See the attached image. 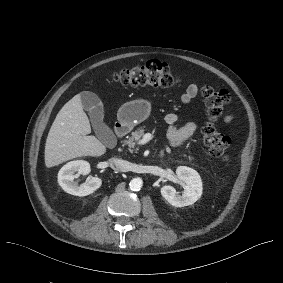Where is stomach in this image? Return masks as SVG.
I'll list each match as a JSON object with an SVG mask.
<instances>
[{"mask_svg": "<svg viewBox=\"0 0 283 283\" xmlns=\"http://www.w3.org/2000/svg\"><path fill=\"white\" fill-rule=\"evenodd\" d=\"M146 112L147 106L145 103L132 101L118 111L117 119L123 126L132 128L149 117L146 116Z\"/></svg>", "mask_w": 283, "mask_h": 283, "instance_id": "0dacf381", "label": "stomach"}]
</instances>
